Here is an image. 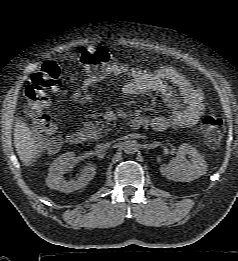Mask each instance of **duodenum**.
<instances>
[{
  "label": "duodenum",
  "instance_id": "obj_1",
  "mask_svg": "<svg viewBox=\"0 0 238 261\" xmlns=\"http://www.w3.org/2000/svg\"><path fill=\"white\" fill-rule=\"evenodd\" d=\"M146 124H147L146 119H144L142 117H134L130 121V126L133 129L141 128V127L145 126ZM84 139H85L84 135L80 132L69 133L66 137V141L70 145H80L84 142Z\"/></svg>",
  "mask_w": 238,
  "mask_h": 261
}]
</instances>
